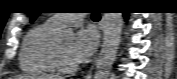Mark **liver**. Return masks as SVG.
I'll list each match as a JSON object with an SVG mask.
<instances>
[{
	"instance_id": "obj_1",
	"label": "liver",
	"mask_w": 177,
	"mask_h": 79,
	"mask_svg": "<svg viewBox=\"0 0 177 79\" xmlns=\"http://www.w3.org/2000/svg\"><path fill=\"white\" fill-rule=\"evenodd\" d=\"M13 79H58L54 76H22V75H19V76H14Z\"/></svg>"
}]
</instances>
